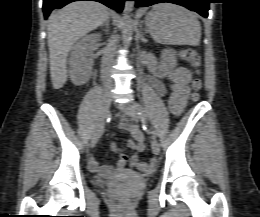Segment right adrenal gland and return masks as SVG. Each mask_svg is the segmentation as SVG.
Segmentation results:
<instances>
[{
  "label": "right adrenal gland",
  "instance_id": "obj_1",
  "mask_svg": "<svg viewBox=\"0 0 260 217\" xmlns=\"http://www.w3.org/2000/svg\"><path fill=\"white\" fill-rule=\"evenodd\" d=\"M109 22H110V18L107 19V21L101 25L102 27H105V32H108L109 30Z\"/></svg>",
  "mask_w": 260,
  "mask_h": 217
}]
</instances>
